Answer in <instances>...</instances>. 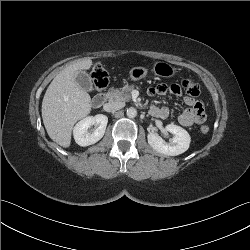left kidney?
<instances>
[{"label": "left kidney", "mask_w": 250, "mask_h": 250, "mask_svg": "<svg viewBox=\"0 0 250 250\" xmlns=\"http://www.w3.org/2000/svg\"><path fill=\"white\" fill-rule=\"evenodd\" d=\"M165 129L174 135L171 142H166L157 133L147 135L148 144L155 151L167 156H177L188 150L191 138L185 129L174 124L167 125Z\"/></svg>", "instance_id": "obj_1"}]
</instances>
